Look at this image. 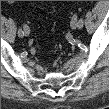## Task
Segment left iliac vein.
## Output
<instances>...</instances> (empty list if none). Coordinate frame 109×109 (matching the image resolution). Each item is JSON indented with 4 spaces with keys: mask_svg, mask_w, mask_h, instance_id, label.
<instances>
[{
    "mask_svg": "<svg viewBox=\"0 0 109 109\" xmlns=\"http://www.w3.org/2000/svg\"><path fill=\"white\" fill-rule=\"evenodd\" d=\"M70 26L72 29H76V28H79V20H78V15L75 14L72 19H71V22H70Z\"/></svg>",
    "mask_w": 109,
    "mask_h": 109,
    "instance_id": "left-iliac-vein-1",
    "label": "left iliac vein"
}]
</instances>
